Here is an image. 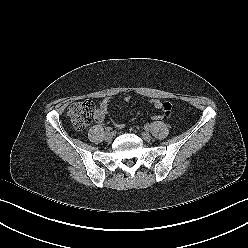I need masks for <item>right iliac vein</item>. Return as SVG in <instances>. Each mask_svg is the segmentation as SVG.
<instances>
[{"instance_id":"right-iliac-vein-1","label":"right iliac vein","mask_w":248,"mask_h":248,"mask_svg":"<svg viewBox=\"0 0 248 248\" xmlns=\"http://www.w3.org/2000/svg\"><path fill=\"white\" fill-rule=\"evenodd\" d=\"M112 138H113V133H112V132H107V133L105 134V140H106V141H111Z\"/></svg>"}]
</instances>
